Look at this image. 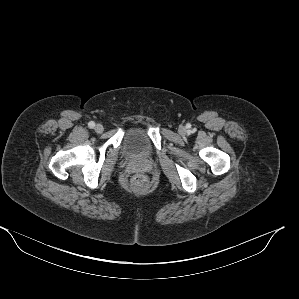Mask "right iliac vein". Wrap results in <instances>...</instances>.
<instances>
[{"label": "right iliac vein", "mask_w": 299, "mask_h": 299, "mask_svg": "<svg viewBox=\"0 0 299 299\" xmlns=\"http://www.w3.org/2000/svg\"><path fill=\"white\" fill-rule=\"evenodd\" d=\"M94 130H95L97 133H102L103 130H104V127H103V125H101V124H97V125L94 127Z\"/></svg>", "instance_id": "1"}]
</instances>
